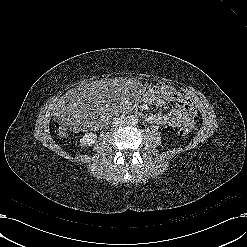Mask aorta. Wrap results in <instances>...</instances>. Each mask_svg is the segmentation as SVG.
I'll use <instances>...</instances> for the list:
<instances>
[{
    "label": "aorta",
    "mask_w": 247,
    "mask_h": 247,
    "mask_svg": "<svg viewBox=\"0 0 247 247\" xmlns=\"http://www.w3.org/2000/svg\"><path fill=\"white\" fill-rule=\"evenodd\" d=\"M129 121L132 123V124H136L138 122V119L135 117V116H131L129 118Z\"/></svg>",
    "instance_id": "1"
}]
</instances>
